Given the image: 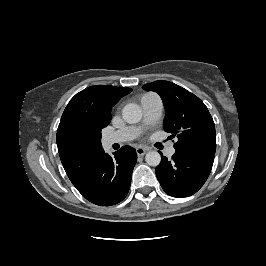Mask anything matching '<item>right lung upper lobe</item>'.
I'll return each mask as SVG.
<instances>
[{
    "label": "right lung upper lobe",
    "mask_w": 266,
    "mask_h": 266,
    "mask_svg": "<svg viewBox=\"0 0 266 266\" xmlns=\"http://www.w3.org/2000/svg\"><path fill=\"white\" fill-rule=\"evenodd\" d=\"M131 90L128 87L91 86L77 93L66 106L56 141L62 165L76 188L84 184L104 153L101 130L111 120V108Z\"/></svg>",
    "instance_id": "1"
}]
</instances>
